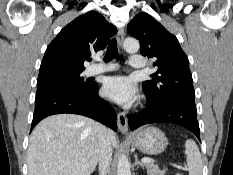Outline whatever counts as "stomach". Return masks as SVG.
<instances>
[{"label": "stomach", "instance_id": "stomach-1", "mask_svg": "<svg viewBox=\"0 0 233 175\" xmlns=\"http://www.w3.org/2000/svg\"><path fill=\"white\" fill-rule=\"evenodd\" d=\"M132 144L148 155L162 153L168 145L165 134L156 127H146L136 131L131 137Z\"/></svg>", "mask_w": 233, "mask_h": 175}]
</instances>
